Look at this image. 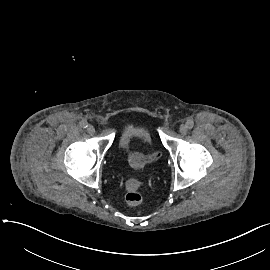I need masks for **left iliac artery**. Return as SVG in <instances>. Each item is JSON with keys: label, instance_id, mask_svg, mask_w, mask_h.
<instances>
[{"label": "left iliac artery", "instance_id": "obj_1", "mask_svg": "<svg viewBox=\"0 0 270 270\" xmlns=\"http://www.w3.org/2000/svg\"><path fill=\"white\" fill-rule=\"evenodd\" d=\"M186 126H187L188 129H192L193 126H194V122L192 120H188L186 122Z\"/></svg>", "mask_w": 270, "mask_h": 270}]
</instances>
